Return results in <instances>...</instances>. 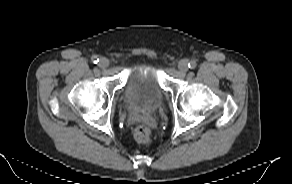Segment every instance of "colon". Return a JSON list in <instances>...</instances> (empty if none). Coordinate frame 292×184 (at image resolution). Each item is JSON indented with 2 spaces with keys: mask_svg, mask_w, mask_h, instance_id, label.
<instances>
[{
  "mask_svg": "<svg viewBox=\"0 0 292 184\" xmlns=\"http://www.w3.org/2000/svg\"><path fill=\"white\" fill-rule=\"evenodd\" d=\"M133 135L135 140L140 144L147 145L151 142V130L144 124L136 126Z\"/></svg>",
  "mask_w": 292,
  "mask_h": 184,
  "instance_id": "colon-1",
  "label": "colon"
}]
</instances>
